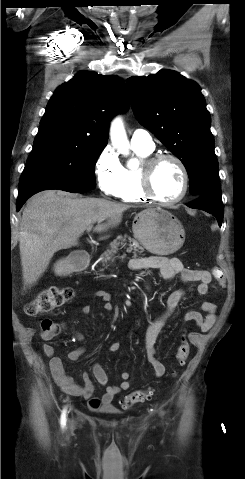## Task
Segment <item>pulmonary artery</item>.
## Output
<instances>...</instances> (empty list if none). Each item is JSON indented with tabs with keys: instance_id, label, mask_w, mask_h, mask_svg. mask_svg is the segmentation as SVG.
I'll return each instance as SVG.
<instances>
[{
	"instance_id": "1",
	"label": "pulmonary artery",
	"mask_w": 245,
	"mask_h": 479,
	"mask_svg": "<svg viewBox=\"0 0 245 479\" xmlns=\"http://www.w3.org/2000/svg\"><path fill=\"white\" fill-rule=\"evenodd\" d=\"M131 145L133 147L144 148L147 150H153L155 147L151 135L143 129H137L132 133Z\"/></svg>"
}]
</instances>
